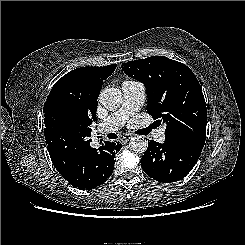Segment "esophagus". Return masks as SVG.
Wrapping results in <instances>:
<instances>
[{"instance_id":"obj_1","label":"esophagus","mask_w":245,"mask_h":245,"mask_svg":"<svg viewBox=\"0 0 245 245\" xmlns=\"http://www.w3.org/2000/svg\"><path fill=\"white\" fill-rule=\"evenodd\" d=\"M132 138V135H130V134H123V135H121L120 137H119V139L122 141V142H124V143H126V142H128L130 139Z\"/></svg>"}]
</instances>
